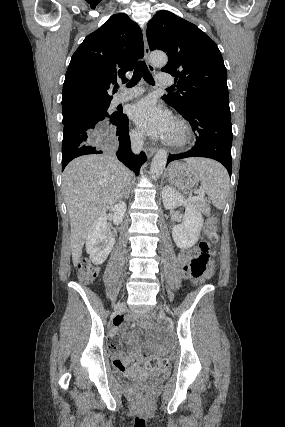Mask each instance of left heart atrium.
Returning a JSON list of instances; mask_svg holds the SVG:
<instances>
[{"label":"left heart atrium","mask_w":285,"mask_h":427,"mask_svg":"<svg viewBox=\"0 0 285 427\" xmlns=\"http://www.w3.org/2000/svg\"><path fill=\"white\" fill-rule=\"evenodd\" d=\"M129 116L142 132L153 136L168 137L174 126L170 114L162 110L151 97L134 103L130 107Z\"/></svg>","instance_id":"left-heart-atrium-1"}]
</instances>
